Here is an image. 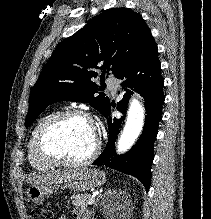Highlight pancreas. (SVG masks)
<instances>
[{"mask_svg": "<svg viewBox=\"0 0 211 219\" xmlns=\"http://www.w3.org/2000/svg\"><path fill=\"white\" fill-rule=\"evenodd\" d=\"M90 200L89 194H78L76 196H73L72 204L76 206V208H85L88 205V202Z\"/></svg>", "mask_w": 211, "mask_h": 219, "instance_id": "pancreas-1", "label": "pancreas"}]
</instances>
